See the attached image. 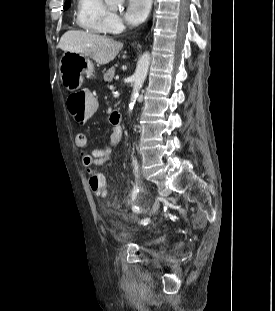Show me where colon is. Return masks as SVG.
I'll return each instance as SVG.
<instances>
[{
	"mask_svg": "<svg viewBox=\"0 0 275 311\" xmlns=\"http://www.w3.org/2000/svg\"><path fill=\"white\" fill-rule=\"evenodd\" d=\"M92 96V92H76L67 99L68 111L73 121H76L78 129H83L90 117L96 116L97 102L96 97ZM88 181L94 194L102 197L106 195L105 177L102 172L97 169L90 170Z\"/></svg>",
	"mask_w": 275,
	"mask_h": 311,
	"instance_id": "1",
	"label": "colon"
}]
</instances>
